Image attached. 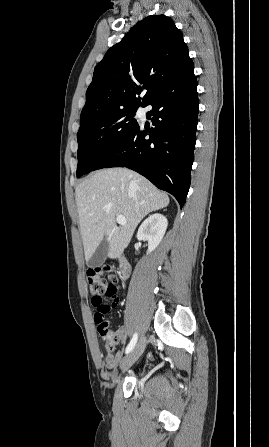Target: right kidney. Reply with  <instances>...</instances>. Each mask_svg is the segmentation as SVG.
I'll return each instance as SVG.
<instances>
[{
	"instance_id": "ca27d5eb",
	"label": "right kidney",
	"mask_w": 269,
	"mask_h": 447,
	"mask_svg": "<svg viewBox=\"0 0 269 447\" xmlns=\"http://www.w3.org/2000/svg\"><path fill=\"white\" fill-rule=\"evenodd\" d=\"M167 218L162 214H152L137 231V239H148L147 253H151L159 245L167 229Z\"/></svg>"
}]
</instances>
